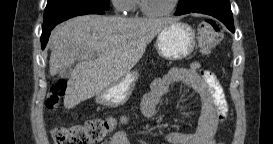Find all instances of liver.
Here are the masks:
<instances>
[{"label": "liver", "instance_id": "1", "mask_svg": "<svg viewBox=\"0 0 273 144\" xmlns=\"http://www.w3.org/2000/svg\"><path fill=\"white\" fill-rule=\"evenodd\" d=\"M173 18L84 15L57 26L50 36V75L76 60L64 95L74 108L123 79L142 58L148 43Z\"/></svg>", "mask_w": 273, "mask_h": 144}]
</instances>
